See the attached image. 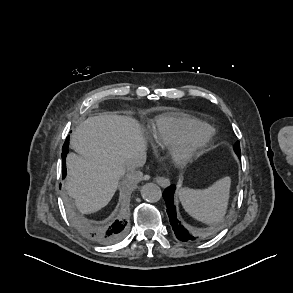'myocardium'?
<instances>
[{"instance_id": "myocardium-1", "label": "myocardium", "mask_w": 293, "mask_h": 293, "mask_svg": "<svg viewBox=\"0 0 293 293\" xmlns=\"http://www.w3.org/2000/svg\"><path fill=\"white\" fill-rule=\"evenodd\" d=\"M214 134L215 131L209 124L200 122L192 126L181 142L168 148L169 162L176 166H186L207 147Z\"/></svg>"}]
</instances>
